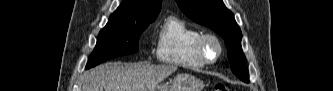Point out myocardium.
I'll use <instances>...</instances> for the list:
<instances>
[{
  "label": "myocardium",
  "instance_id": "myocardium-1",
  "mask_svg": "<svg viewBox=\"0 0 333 91\" xmlns=\"http://www.w3.org/2000/svg\"><path fill=\"white\" fill-rule=\"evenodd\" d=\"M209 43H213L217 48V53L213 58L209 57L207 54ZM196 52L204 64H214L221 58L223 53L221 40L212 33H202L196 42Z\"/></svg>",
  "mask_w": 333,
  "mask_h": 91
}]
</instances>
